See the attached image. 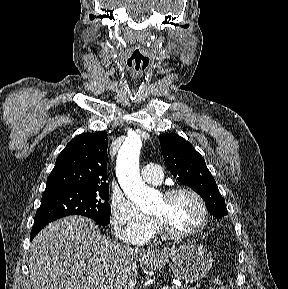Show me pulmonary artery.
<instances>
[{
	"label": "pulmonary artery",
	"mask_w": 288,
	"mask_h": 289,
	"mask_svg": "<svg viewBox=\"0 0 288 289\" xmlns=\"http://www.w3.org/2000/svg\"><path fill=\"white\" fill-rule=\"evenodd\" d=\"M145 182L152 185H159L162 182L163 171L157 164L149 163L143 166L141 170Z\"/></svg>",
	"instance_id": "pulmonary-artery-1"
}]
</instances>
